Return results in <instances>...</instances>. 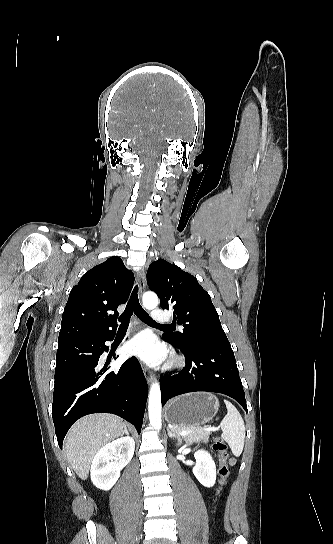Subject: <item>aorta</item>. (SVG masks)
<instances>
[{
    "label": "aorta",
    "instance_id": "762f6f07",
    "mask_svg": "<svg viewBox=\"0 0 333 544\" xmlns=\"http://www.w3.org/2000/svg\"><path fill=\"white\" fill-rule=\"evenodd\" d=\"M143 305L147 309H154L158 303L159 299L157 295L153 292H146L142 297ZM148 413L149 420L152 427L156 430L161 428V391L158 382H154L150 388L148 396Z\"/></svg>",
    "mask_w": 333,
    "mask_h": 544
}]
</instances>
